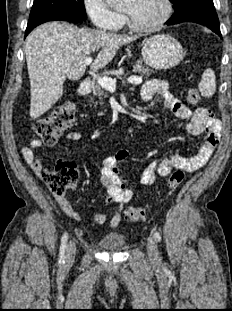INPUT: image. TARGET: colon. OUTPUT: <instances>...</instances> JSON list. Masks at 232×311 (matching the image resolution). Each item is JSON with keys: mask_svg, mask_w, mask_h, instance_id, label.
<instances>
[{"mask_svg": "<svg viewBox=\"0 0 232 311\" xmlns=\"http://www.w3.org/2000/svg\"><path fill=\"white\" fill-rule=\"evenodd\" d=\"M200 100L198 90L192 89L187 94V103L190 107L195 106ZM75 121V106L70 100L61 101L53 112L35 120L31 125V132L39 136L45 143L53 144L57 138L70 128ZM45 182L49 189L58 195H63L71 188L78 177L74 166L68 163L58 162L53 169L46 171ZM184 171L177 169L173 171L168 179V193H172L183 181ZM147 216V209L144 207L130 208L125 212L129 222H138Z\"/></svg>", "mask_w": 232, "mask_h": 311, "instance_id": "colon-1", "label": "colon"}]
</instances>
